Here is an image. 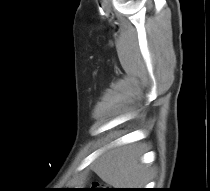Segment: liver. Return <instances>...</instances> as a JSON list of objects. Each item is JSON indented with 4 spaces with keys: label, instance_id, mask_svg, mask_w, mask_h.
<instances>
[{
    "label": "liver",
    "instance_id": "1",
    "mask_svg": "<svg viewBox=\"0 0 210 191\" xmlns=\"http://www.w3.org/2000/svg\"><path fill=\"white\" fill-rule=\"evenodd\" d=\"M142 154L138 145L115 146L101 153L91 167L104 182L115 188L143 186L147 182V170L141 161Z\"/></svg>",
    "mask_w": 210,
    "mask_h": 191
}]
</instances>
